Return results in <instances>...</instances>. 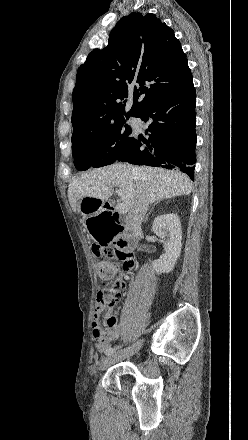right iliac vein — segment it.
<instances>
[{"instance_id":"63e3f726","label":"right iliac vein","mask_w":248,"mask_h":440,"mask_svg":"<svg viewBox=\"0 0 248 440\" xmlns=\"http://www.w3.org/2000/svg\"><path fill=\"white\" fill-rule=\"evenodd\" d=\"M139 348H140V343H137L121 353H118V354L112 353V354L108 355L105 359L102 360V362L99 366V370H104L105 368H107L108 366L113 364L118 359H122V358L124 359V358H127V357L135 354L139 350Z\"/></svg>"}]
</instances>
